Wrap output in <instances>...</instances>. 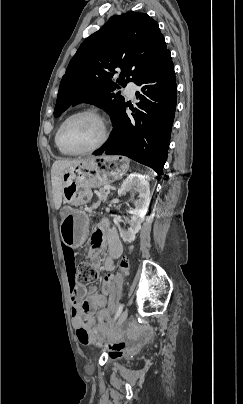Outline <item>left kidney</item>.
<instances>
[{
  "label": "left kidney",
  "instance_id": "obj_1",
  "mask_svg": "<svg viewBox=\"0 0 243 404\" xmlns=\"http://www.w3.org/2000/svg\"><path fill=\"white\" fill-rule=\"evenodd\" d=\"M130 190H135L138 192V200H136L134 206V210H129V214H132V218L129 222L130 226L125 232L122 228H119V222H121L120 218H114L113 222L118 226L120 236L123 242L126 244H131L134 242L136 238L137 232H139L141 228L142 222H144V216L147 214V210L150 204V186L146 176H142V174H129L126 180H124L121 188L118 190L119 196H123L126 192H130Z\"/></svg>",
  "mask_w": 243,
  "mask_h": 404
}]
</instances>
